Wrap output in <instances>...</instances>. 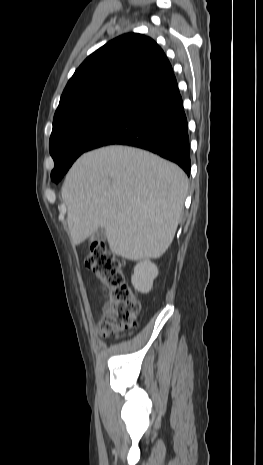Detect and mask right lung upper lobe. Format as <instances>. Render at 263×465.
I'll return each mask as SVG.
<instances>
[{
  "label": "right lung upper lobe",
  "mask_w": 263,
  "mask_h": 465,
  "mask_svg": "<svg viewBox=\"0 0 263 465\" xmlns=\"http://www.w3.org/2000/svg\"><path fill=\"white\" fill-rule=\"evenodd\" d=\"M173 75L163 50L149 37L121 35L92 53L68 81L55 116L107 96L137 97Z\"/></svg>",
  "instance_id": "cb5924a9"
}]
</instances>
